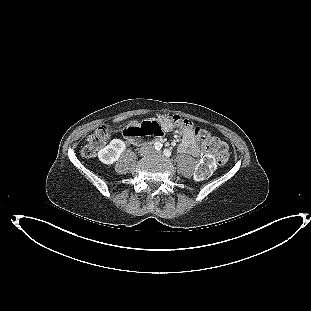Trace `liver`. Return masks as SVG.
<instances>
[{
  "label": "liver",
  "instance_id": "6515ba94",
  "mask_svg": "<svg viewBox=\"0 0 311 311\" xmlns=\"http://www.w3.org/2000/svg\"><path fill=\"white\" fill-rule=\"evenodd\" d=\"M123 119H124V118L121 117V118L115 119L114 122H119V121H121V120H123Z\"/></svg>",
  "mask_w": 311,
  "mask_h": 311
}]
</instances>
